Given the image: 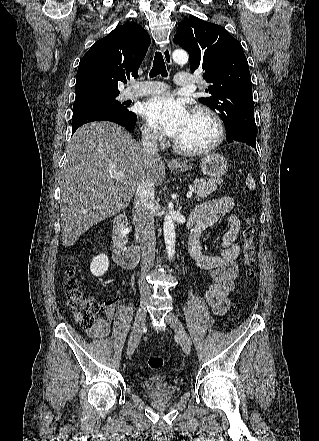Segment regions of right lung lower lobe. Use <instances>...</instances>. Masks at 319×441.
I'll return each instance as SVG.
<instances>
[{
	"label": "right lung lower lobe",
	"instance_id": "98d812e1",
	"mask_svg": "<svg viewBox=\"0 0 319 441\" xmlns=\"http://www.w3.org/2000/svg\"><path fill=\"white\" fill-rule=\"evenodd\" d=\"M136 119V116H134L130 120H126L113 113L87 114L72 120V135L81 125L93 121H111L125 127L127 130H132L136 125Z\"/></svg>",
	"mask_w": 319,
	"mask_h": 441
}]
</instances>
